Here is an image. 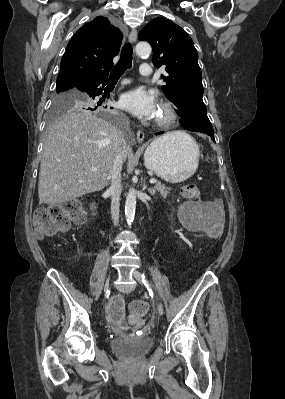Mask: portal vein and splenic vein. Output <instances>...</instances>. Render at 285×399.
<instances>
[{
    "label": "portal vein and splenic vein",
    "mask_w": 285,
    "mask_h": 399,
    "mask_svg": "<svg viewBox=\"0 0 285 399\" xmlns=\"http://www.w3.org/2000/svg\"><path fill=\"white\" fill-rule=\"evenodd\" d=\"M92 171L95 172L97 171V168H92ZM157 181L155 179H150L151 184H155Z\"/></svg>",
    "instance_id": "1"
}]
</instances>
